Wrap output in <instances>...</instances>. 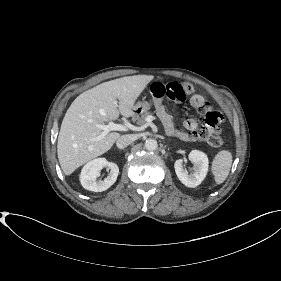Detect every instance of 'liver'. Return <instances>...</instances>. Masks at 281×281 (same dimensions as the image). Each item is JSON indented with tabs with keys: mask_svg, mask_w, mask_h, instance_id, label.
Segmentation results:
<instances>
[{
	"mask_svg": "<svg viewBox=\"0 0 281 281\" xmlns=\"http://www.w3.org/2000/svg\"><path fill=\"white\" fill-rule=\"evenodd\" d=\"M153 76L134 75L101 83L80 94L68 108L59 132L57 155L65 175L107 152L120 137L108 133L94 141L102 130L97 127L121 114L134 115V103ZM118 100V101H117Z\"/></svg>",
	"mask_w": 281,
	"mask_h": 281,
	"instance_id": "liver-1",
	"label": "liver"
}]
</instances>
